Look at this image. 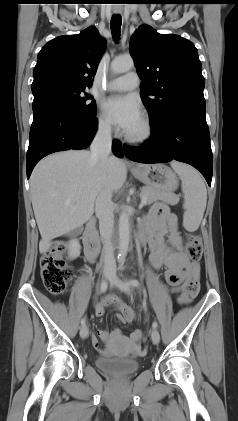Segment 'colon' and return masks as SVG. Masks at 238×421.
I'll return each instance as SVG.
<instances>
[{
	"label": "colon",
	"instance_id": "obj_1",
	"mask_svg": "<svg viewBox=\"0 0 238 421\" xmlns=\"http://www.w3.org/2000/svg\"><path fill=\"white\" fill-rule=\"evenodd\" d=\"M65 246L57 244L51 247L40 260L41 278L46 289L54 294H62L72 277V269L65 262L63 253ZM187 255L197 263L202 256V241L198 235H190L187 243ZM198 273L184 283L183 291L178 298L180 305H187L199 289Z\"/></svg>",
	"mask_w": 238,
	"mask_h": 421
}]
</instances>
